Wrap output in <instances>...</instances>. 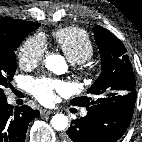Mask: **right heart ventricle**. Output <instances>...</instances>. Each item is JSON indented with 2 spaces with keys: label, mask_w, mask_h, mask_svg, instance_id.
Returning a JSON list of instances; mask_svg holds the SVG:
<instances>
[{
  "label": "right heart ventricle",
  "mask_w": 142,
  "mask_h": 142,
  "mask_svg": "<svg viewBox=\"0 0 142 142\" xmlns=\"http://www.w3.org/2000/svg\"><path fill=\"white\" fill-rule=\"evenodd\" d=\"M54 40L71 63H83L94 53L89 34L78 27H66L55 31Z\"/></svg>",
  "instance_id": "obj_1"
}]
</instances>
